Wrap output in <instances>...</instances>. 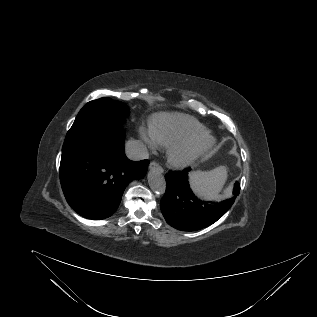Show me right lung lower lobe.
<instances>
[{
	"mask_svg": "<svg viewBox=\"0 0 317 317\" xmlns=\"http://www.w3.org/2000/svg\"><path fill=\"white\" fill-rule=\"evenodd\" d=\"M124 138L122 129H101L62 154L61 186L67 202L81 216L94 220L111 216L128 183L145 176L149 161L129 160Z\"/></svg>",
	"mask_w": 317,
	"mask_h": 317,
	"instance_id": "obj_1",
	"label": "right lung lower lobe"
}]
</instances>
